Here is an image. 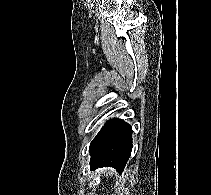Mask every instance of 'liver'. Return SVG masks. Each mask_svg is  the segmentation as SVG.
Wrapping results in <instances>:
<instances>
[{
  "mask_svg": "<svg viewBox=\"0 0 211 195\" xmlns=\"http://www.w3.org/2000/svg\"><path fill=\"white\" fill-rule=\"evenodd\" d=\"M99 172L101 173V174H104L105 175V173H106V177H108V176H113V174L115 173L114 172V170H112V169H100L99 170Z\"/></svg>",
  "mask_w": 211,
  "mask_h": 195,
  "instance_id": "6515ba94",
  "label": "liver"
}]
</instances>
